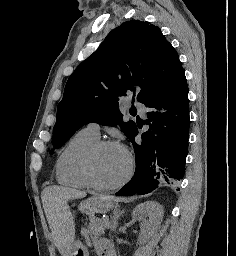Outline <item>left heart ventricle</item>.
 <instances>
[{
    "instance_id": "left-heart-ventricle-1",
    "label": "left heart ventricle",
    "mask_w": 236,
    "mask_h": 256,
    "mask_svg": "<svg viewBox=\"0 0 236 256\" xmlns=\"http://www.w3.org/2000/svg\"><path fill=\"white\" fill-rule=\"evenodd\" d=\"M127 170V157L122 148L113 146L103 150L95 161V176L102 185L118 182Z\"/></svg>"
}]
</instances>
